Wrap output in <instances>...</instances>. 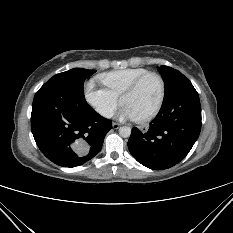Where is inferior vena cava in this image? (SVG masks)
<instances>
[{
  "label": "inferior vena cava",
  "mask_w": 233,
  "mask_h": 233,
  "mask_svg": "<svg viewBox=\"0 0 233 233\" xmlns=\"http://www.w3.org/2000/svg\"><path fill=\"white\" fill-rule=\"evenodd\" d=\"M112 116V113L111 112H107L106 113V117H111Z\"/></svg>",
  "instance_id": "obj_1"
}]
</instances>
